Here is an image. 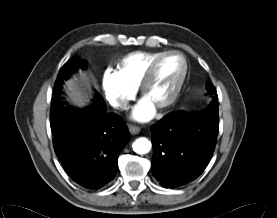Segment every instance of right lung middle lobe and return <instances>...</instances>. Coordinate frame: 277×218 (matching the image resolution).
<instances>
[{
	"instance_id": "right-lung-middle-lobe-1",
	"label": "right lung middle lobe",
	"mask_w": 277,
	"mask_h": 218,
	"mask_svg": "<svg viewBox=\"0 0 277 218\" xmlns=\"http://www.w3.org/2000/svg\"><path fill=\"white\" fill-rule=\"evenodd\" d=\"M85 61H80L77 58H72L68 60L63 67L60 69L58 78H63L64 80L68 79L69 76L76 71L79 67H84L85 66ZM51 114H50V123H51V130L52 134L56 135L65 127H67L74 114V110H69L66 108L62 101H51ZM101 109L99 112H102L104 110V107H100Z\"/></svg>"
}]
</instances>
